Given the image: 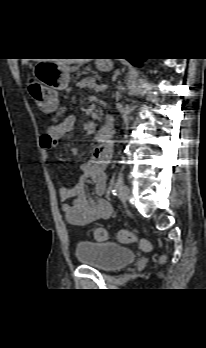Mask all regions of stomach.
<instances>
[{
	"mask_svg": "<svg viewBox=\"0 0 206 348\" xmlns=\"http://www.w3.org/2000/svg\"><path fill=\"white\" fill-rule=\"evenodd\" d=\"M96 67L101 71H110L113 68V62L110 59H97ZM79 69V66H69L67 64H57L53 61H42L35 65L33 74L36 80L52 89V93L41 90L35 98L39 110L44 113L54 111L58 106L57 90H64L70 82V73Z\"/></svg>",
	"mask_w": 206,
	"mask_h": 348,
	"instance_id": "obj_1",
	"label": "stomach"
}]
</instances>
